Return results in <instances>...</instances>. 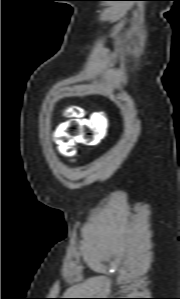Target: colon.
Listing matches in <instances>:
<instances>
[{"instance_id":"5ec220e1","label":"colon","mask_w":180,"mask_h":299,"mask_svg":"<svg viewBox=\"0 0 180 299\" xmlns=\"http://www.w3.org/2000/svg\"><path fill=\"white\" fill-rule=\"evenodd\" d=\"M80 114V110H77ZM108 123L103 121L97 125L82 123L80 117L70 119L59 125L55 133L56 143L60 153L64 155L73 154V145L77 140L85 144H96L100 142L106 132Z\"/></svg>"}]
</instances>
